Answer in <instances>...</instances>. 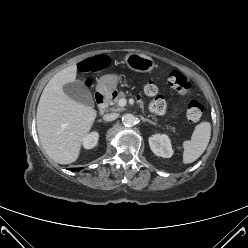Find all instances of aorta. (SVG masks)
Returning a JSON list of instances; mask_svg holds the SVG:
<instances>
[{"mask_svg": "<svg viewBox=\"0 0 248 248\" xmlns=\"http://www.w3.org/2000/svg\"><path fill=\"white\" fill-rule=\"evenodd\" d=\"M122 122L127 127H132L136 124V117L132 114H126L122 118Z\"/></svg>", "mask_w": 248, "mask_h": 248, "instance_id": "obj_1", "label": "aorta"}]
</instances>
